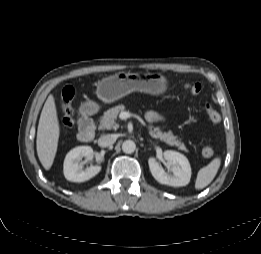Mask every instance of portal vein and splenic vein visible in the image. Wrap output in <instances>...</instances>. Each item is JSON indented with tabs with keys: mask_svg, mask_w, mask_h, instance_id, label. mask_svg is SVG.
<instances>
[{
	"mask_svg": "<svg viewBox=\"0 0 261 254\" xmlns=\"http://www.w3.org/2000/svg\"><path fill=\"white\" fill-rule=\"evenodd\" d=\"M120 118H121V119H126V118H128V113H127V112H122V113L120 114Z\"/></svg>",
	"mask_w": 261,
	"mask_h": 254,
	"instance_id": "1",
	"label": "portal vein and splenic vein"
}]
</instances>
